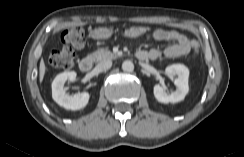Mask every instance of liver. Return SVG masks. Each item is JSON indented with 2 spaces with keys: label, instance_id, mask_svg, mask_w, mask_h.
I'll return each instance as SVG.
<instances>
[{
  "label": "liver",
  "instance_id": "1",
  "mask_svg": "<svg viewBox=\"0 0 244 157\" xmlns=\"http://www.w3.org/2000/svg\"><path fill=\"white\" fill-rule=\"evenodd\" d=\"M45 72H46V66H45L44 60L41 59L40 65H39V80H40V82L43 81V78L45 76Z\"/></svg>",
  "mask_w": 244,
  "mask_h": 157
}]
</instances>
